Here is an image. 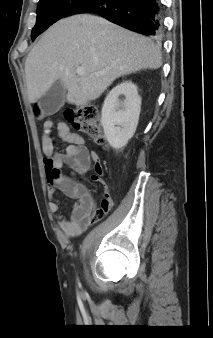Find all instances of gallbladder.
Returning <instances> with one entry per match:
<instances>
[{
	"mask_svg": "<svg viewBox=\"0 0 213 338\" xmlns=\"http://www.w3.org/2000/svg\"><path fill=\"white\" fill-rule=\"evenodd\" d=\"M65 99L66 88L61 81L58 80L38 101L41 117L55 114L63 106Z\"/></svg>",
	"mask_w": 213,
	"mask_h": 338,
	"instance_id": "obj_1",
	"label": "gallbladder"
}]
</instances>
